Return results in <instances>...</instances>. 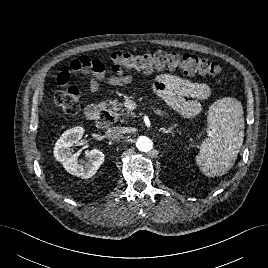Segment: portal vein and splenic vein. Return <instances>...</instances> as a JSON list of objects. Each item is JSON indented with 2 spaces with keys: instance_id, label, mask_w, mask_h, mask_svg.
<instances>
[{
  "instance_id": "obj_1",
  "label": "portal vein and splenic vein",
  "mask_w": 268,
  "mask_h": 268,
  "mask_svg": "<svg viewBox=\"0 0 268 268\" xmlns=\"http://www.w3.org/2000/svg\"><path fill=\"white\" fill-rule=\"evenodd\" d=\"M163 115L166 117L167 115H166V113H163Z\"/></svg>"
}]
</instances>
